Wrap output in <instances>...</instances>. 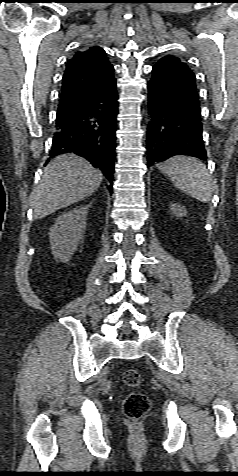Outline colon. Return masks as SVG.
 Masks as SVG:
<instances>
[{
    "instance_id": "colon-1",
    "label": "colon",
    "mask_w": 238,
    "mask_h": 476,
    "mask_svg": "<svg viewBox=\"0 0 238 476\" xmlns=\"http://www.w3.org/2000/svg\"><path fill=\"white\" fill-rule=\"evenodd\" d=\"M123 382L126 386L136 388L141 384V374L138 370L130 368L123 373ZM150 408L148 396L142 392H131L123 401V413L131 420L141 419Z\"/></svg>"
}]
</instances>
